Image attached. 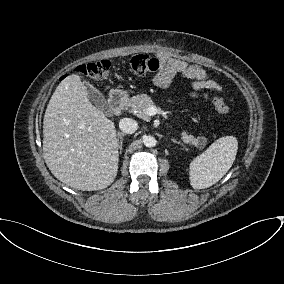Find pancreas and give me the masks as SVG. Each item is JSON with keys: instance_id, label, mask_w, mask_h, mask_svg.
I'll list each match as a JSON object with an SVG mask.
<instances>
[{"instance_id": "cf45deb5", "label": "pancreas", "mask_w": 284, "mask_h": 284, "mask_svg": "<svg viewBox=\"0 0 284 284\" xmlns=\"http://www.w3.org/2000/svg\"><path fill=\"white\" fill-rule=\"evenodd\" d=\"M154 102L152 98L147 94H140L131 97L127 102L129 111L143 120H149L147 109L153 106ZM182 140L186 144H191L199 148L200 150L207 144V139L203 136L195 138L193 135H188L186 131L182 133Z\"/></svg>"}]
</instances>
